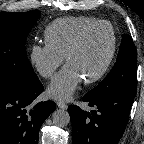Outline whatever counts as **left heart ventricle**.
Instances as JSON below:
<instances>
[{
	"instance_id": "left-heart-ventricle-1",
	"label": "left heart ventricle",
	"mask_w": 144,
	"mask_h": 144,
	"mask_svg": "<svg viewBox=\"0 0 144 144\" xmlns=\"http://www.w3.org/2000/svg\"><path fill=\"white\" fill-rule=\"evenodd\" d=\"M111 43L110 28L99 27L87 35L68 64L77 70L82 79L89 78L103 66L110 52Z\"/></svg>"
}]
</instances>
